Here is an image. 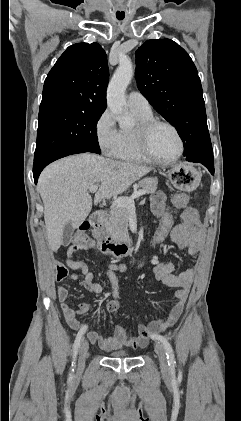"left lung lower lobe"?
<instances>
[{
	"instance_id": "obj_1",
	"label": "left lung lower lobe",
	"mask_w": 241,
	"mask_h": 421,
	"mask_svg": "<svg viewBox=\"0 0 241 421\" xmlns=\"http://www.w3.org/2000/svg\"><path fill=\"white\" fill-rule=\"evenodd\" d=\"M194 162H200V163H202L205 167L208 168V170L211 172V174H214V163H213V159H195Z\"/></svg>"
}]
</instances>
